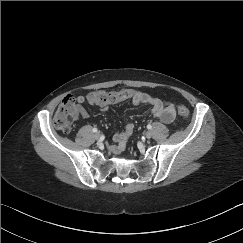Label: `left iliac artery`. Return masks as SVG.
Returning a JSON list of instances; mask_svg holds the SVG:
<instances>
[{"label":"left iliac artery","mask_w":243,"mask_h":243,"mask_svg":"<svg viewBox=\"0 0 243 243\" xmlns=\"http://www.w3.org/2000/svg\"><path fill=\"white\" fill-rule=\"evenodd\" d=\"M151 128H152V125H151V124H148V125H147V129L150 130Z\"/></svg>","instance_id":"44dca946"}]
</instances>
